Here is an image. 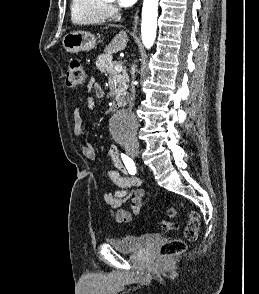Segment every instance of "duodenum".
<instances>
[{
	"label": "duodenum",
	"instance_id": "duodenum-1",
	"mask_svg": "<svg viewBox=\"0 0 259 294\" xmlns=\"http://www.w3.org/2000/svg\"><path fill=\"white\" fill-rule=\"evenodd\" d=\"M124 106V99H121L118 103H117V105H116V109H120V108H122Z\"/></svg>",
	"mask_w": 259,
	"mask_h": 294
}]
</instances>
